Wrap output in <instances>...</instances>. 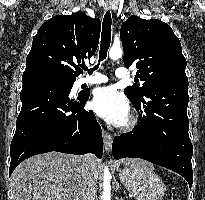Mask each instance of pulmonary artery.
Returning <instances> with one entry per match:
<instances>
[{
	"mask_svg": "<svg viewBox=\"0 0 205 200\" xmlns=\"http://www.w3.org/2000/svg\"><path fill=\"white\" fill-rule=\"evenodd\" d=\"M115 75L117 78L123 79L129 76L128 71L125 68H118L115 71ZM108 77L101 73H94V75L90 77H85L80 80V84H101L108 82Z\"/></svg>",
	"mask_w": 205,
	"mask_h": 200,
	"instance_id": "e3ab8cb5",
	"label": "pulmonary artery"
}]
</instances>
